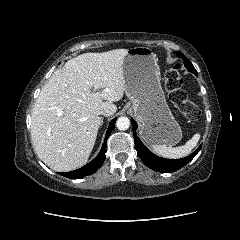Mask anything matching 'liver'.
<instances>
[{
    "mask_svg": "<svg viewBox=\"0 0 240 240\" xmlns=\"http://www.w3.org/2000/svg\"><path fill=\"white\" fill-rule=\"evenodd\" d=\"M127 52L81 54L56 70L41 89L32 111L31 139L51 169L67 172L87 163L102 123L100 111L113 115V102L124 95Z\"/></svg>",
    "mask_w": 240,
    "mask_h": 240,
    "instance_id": "liver-1",
    "label": "liver"
}]
</instances>
